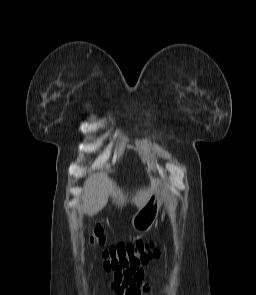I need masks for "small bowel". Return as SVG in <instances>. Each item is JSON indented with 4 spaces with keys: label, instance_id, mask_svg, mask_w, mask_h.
I'll return each instance as SVG.
<instances>
[{
    "label": "small bowel",
    "instance_id": "c3829d8e",
    "mask_svg": "<svg viewBox=\"0 0 256 295\" xmlns=\"http://www.w3.org/2000/svg\"><path fill=\"white\" fill-rule=\"evenodd\" d=\"M112 289L117 295H148L150 286L143 268L122 269L112 273Z\"/></svg>",
    "mask_w": 256,
    "mask_h": 295
}]
</instances>
